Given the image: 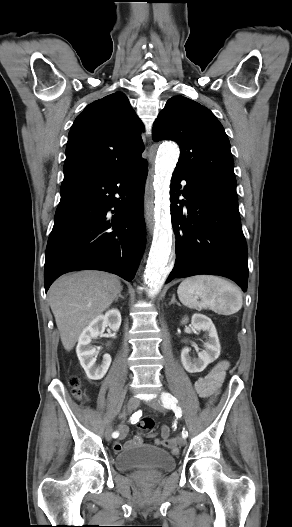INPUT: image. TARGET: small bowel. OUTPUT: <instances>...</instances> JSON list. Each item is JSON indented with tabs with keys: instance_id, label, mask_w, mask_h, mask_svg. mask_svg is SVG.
I'll return each mask as SVG.
<instances>
[{
	"instance_id": "c3829d8e",
	"label": "small bowel",
	"mask_w": 292,
	"mask_h": 527,
	"mask_svg": "<svg viewBox=\"0 0 292 527\" xmlns=\"http://www.w3.org/2000/svg\"><path fill=\"white\" fill-rule=\"evenodd\" d=\"M228 363L226 361L219 362L215 365L205 376L195 381L194 387L198 395L203 399L212 400L218 394L221 384L224 380ZM120 439H123L127 434V428L125 426L120 427ZM172 429L170 426H163L159 434V438L155 439L157 445H167L174 452L177 451L176 440L170 438ZM149 435H153L150 433ZM142 439L140 436L134 437L132 440L125 444L126 448H130L136 445H140ZM113 448L115 451L120 452L124 446L120 441L114 443Z\"/></svg>"
}]
</instances>
